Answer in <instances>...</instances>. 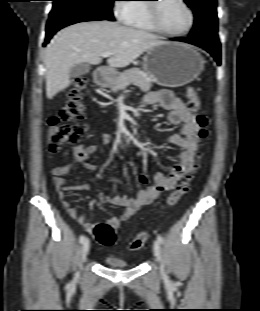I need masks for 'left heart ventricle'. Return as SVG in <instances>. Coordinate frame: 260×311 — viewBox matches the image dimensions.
<instances>
[{"label": "left heart ventricle", "instance_id": "b2bd125f", "mask_svg": "<svg viewBox=\"0 0 260 311\" xmlns=\"http://www.w3.org/2000/svg\"><path fill=\"white\" fill-rule=\"evenodd\" d=\"M158 16L162 26L172 32L184 30L189 23L188 12L179 0H162Z\"/></svg>", "mask_w": 260, "mask_h": 311}]
</instances>
